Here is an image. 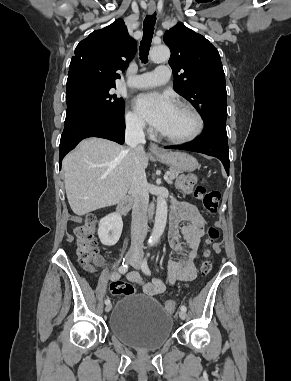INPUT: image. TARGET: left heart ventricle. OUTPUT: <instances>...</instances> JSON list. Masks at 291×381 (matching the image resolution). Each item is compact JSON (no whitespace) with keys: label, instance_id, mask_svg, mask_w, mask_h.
<instances>
[{"label":"left heart ventricle","instance_id":"1","mask_svg":"<svg viewBox=\"0 0 291 381\" xmlns=\"http://www.w3.org/2000/svg\"><path fill=\"white\" fill-rule=\"evenodd\" d=\"M196 128V118L187 109L175 107L165 127L161 130L163 134L172 137H186Z\"/></svg>","mask_w":291,"mask_h":381}]
</instances>
